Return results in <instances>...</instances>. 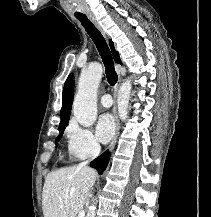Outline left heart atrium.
Listing matches in <instances>:
<instances>
[{
	"label": "left heart atrium",
	"instance_id": "left-heart-atrium-1",
	"mask_svg": "<svg viewBox=\"0 0 211 217\" xmlns=\"http://www.w3.org/2000/svg\"><path fill=\"white\" fill-rule=\"evenodd\" d=\"M115 132V123L113 117L110 114L102 115L96 125V134L98 139L107 143L111 140Z\"/></svg>",
	"mask_w": 211,
	"mask_h": 217
}]
</instances>
